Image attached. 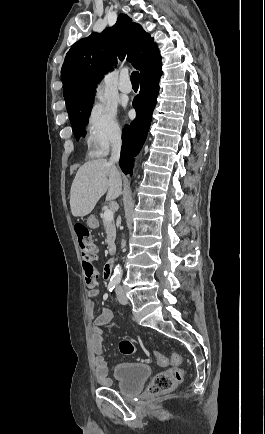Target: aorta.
Masks as SVG:
<instances>
[{"label":"aorta","instance_id":"1","mask_svg":"<svg viewBox=\"0 0 265 434\" xmlns=\"http://www.w3.org/2000/svg\"><path fill=\"white\" fill-rule=\"evenodd\" d=\"M97 98H99L100 102H105L106 100L101 88H97ZM121 278H122V268L118 264V266H115L112 280L113 282H121Z\"/></svg>","mask_w":265,"mask_h":434}]
</instances>
